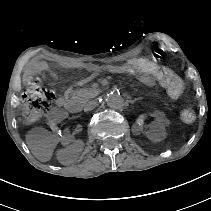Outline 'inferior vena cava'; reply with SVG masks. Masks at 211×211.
<instances>
[{"label":"inferior vena cava","mask_w":211,"mask_h":211,"mask_svg":"<svg viewBox=\"0 0 211 211\" xmlns=\"http://www.w3.org/2000/svg\"><path fill=\"white\" fill-rule=\"evenodd\" d=\"M94 105H95V104L92 103V102H91V103H88V104L85 106L84 110H85V111L91 110V109H93Z\"/></svg>","instance_id":"inferior-vena-cava-1"}]
</instances>
